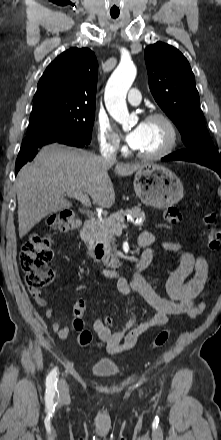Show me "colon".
<instances>
[{
	"instance_id": "colon-1",
	"label": "colon",
	"mask_w": 221,
	"mask_h": 440,
	"mask_svg": "<svg viewBox=\"0 0 221 440\" xmlns=\"http://www.w3.org/2000/svg\"><path fill=\"white\" fill-rule=\"evenodd\" d=\"M164 219L170 225L179 224L182 220V213L176 207H169L164 212ZM216 221L213 213L204 217V223L211 226ZM49 223L55 230L71 232L80 226L79 217L71 211H61L53 215ZM221 238L219 232L210 229L207 237V247L216 250L220 247ZM53 258L50 239L47 236L34 233L22 245L19 255V263L25 274V281L30 288L39 289L50 284L55 276L54 270L50 267ZM86 311V303L82 300L75 303L73 308V326L78 331L79 343L82 346H89L92 343V334L84 328L83 315ZM102 322L106 329H115L116 322L113 315H103ZM169 338V331H161L152 341L151 348L162 347Z\"/></svg>"
}]
</instances>
